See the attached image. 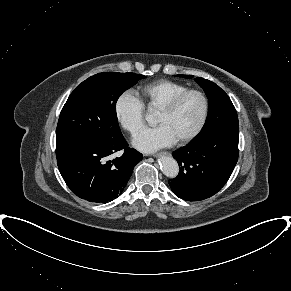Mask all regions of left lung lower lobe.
<instances>
[{"label": "left lung lower lobe", "mask_w": 291, "mask_h": 291, "mask_svg": "<svg viewBox=\"0 0 291 291\" xmlns=\"http://www.w3.org/2000/svg\"><path fill=\"white\" fill-rule=\"evenodd\" d=\"M239 130H220L190 141L173 153L179 174L170 188L183 200H203L218 192L229 179L238 160Z\"/></svg>", "instance_id": "0a47b994"}]
</instances>
